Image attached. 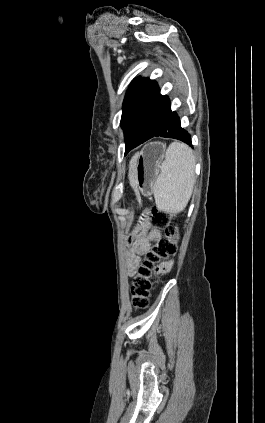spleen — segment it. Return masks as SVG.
<instances>
[{
    "instance_id": "spleen-1",
    "label": "spleen",
    "mask_w": 265,
    "mask_h": 423,
    "mask_svg": "<svg viewBox=\"0 0 265 423\" xmlns=\"http://www.w3.org/2000/svg\"><path fill=\"white\" fill-rule=\"evenodd\" d=\"M194 168L192 150L184 143H171L153 185L155 203L160 210L176 214L185 209L193 192Z\"/></svg>"
}]
</instances>
